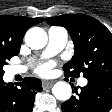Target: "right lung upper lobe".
I'll list each match as a JSON object with an SVG mask.
<instances>
[{
  "label": "right lung upper lobe",
  "instance_id": "1",
  "mask_svg": "<svg viewBox=\"0 0 112 112\" xmlns=\"http://www.w3.org/2000/svg\"><path fill=\"white\" fill-rule=\"evenodd\" d=\"M43 18L22 16H0V45H21L26 31L33 25L43 22Z\"/></svg>",
  "mask_w": 112,
  "mask_h": 112
}]
</instances>
